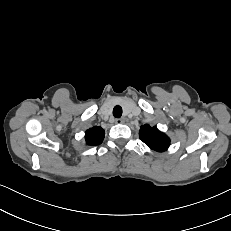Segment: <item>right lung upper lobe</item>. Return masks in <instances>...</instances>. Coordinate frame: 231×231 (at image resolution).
Returning <instances> with one entry per match:
<instances>
[{
	"mask_svg": "<svg viewBox=\"0 0 231 231\" xmlns=\"http://www.w3.org/2000/svg\"><path fill=\"white\" fill-rule=\"evenodd\" d=\"M105 132L101 127L95 126L85 132V141L87 145H99L104 139Z\"/></svg>",
	"mask_w": 231,
	"mask_h": 231,
	"instance_id": "1",
	"label": "right lung upper lobe"
}]
</instances>
